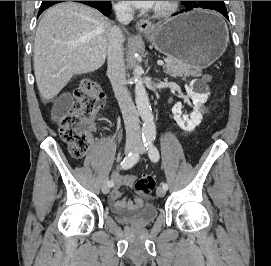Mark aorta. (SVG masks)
Wrapping results in <instances>:
<instances>
[{
    "mask_svg": "<svg viewBox=\"0 0 271 266\" xmlns=\"http://www.w3.org/2000/svg\"><path fill=\"white\" fill-rule=\"evenodd\" d=\"M133 74L135 82V101L138 112L143 121L142 135L146 140H152L156 136V127L152 115L148 94L142 81V67L134 63Z\"/></svg>",
    "mask_w": 271,
    "mask_h": 266,
    "instance_id": "aorta-1",
    "label": "aorta"
}]
</instances>
